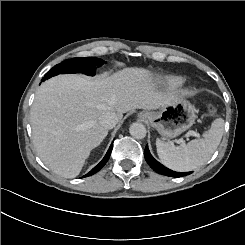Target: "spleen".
Masks as SVG:
<instances>
[{
	"mask_svg": "<svg viewBox=\"0 0 245 245\" xmlns=\"http://www.w3.org/2000/svg\"><path fill=\"white\" fill-rule=\"evenodd\" d=\"M224 126V120L218 119L212 123L205 139H194L182 147L157 139V152L161 162L176 172H189L201 167L220 145Z\"/></svg>",
	"mask_w": 245,
	"mask_h": 245,
	"instance_id": "1",
	"label": "spleen"
}]
</instances>
